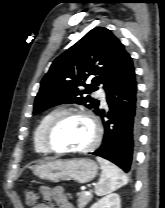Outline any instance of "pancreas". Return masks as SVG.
Segmentation results:
<instances>
[{"label": "pancreas", "instance_id": "cf45deb5", "mask_svg": "<svg viewBox=\"0 0 165 208\" xmlns=\"http://www.w3.org/2000/svg\"><path fill=\"white\" fill-rule=\"evenodd\" d=\"M77 196H78L77 203L79 208L85 207L93 197L91 194L86 195L85 192H79L77 193Z\"/></svg>", "mask_w": 165, "mask_h": 208}]
</instances>
